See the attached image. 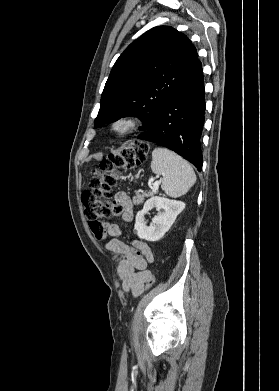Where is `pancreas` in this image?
<instances>
[{
	"label": "pancreas",
	"instance_id": "1",
	"mask_svg": "<svg viewBox=\"0 0 279 391\" xmlns=\"http://www.w3.org/2000/svg\"><path fill=\"white\" fill-rule=\"evenodd\" d=\"M154 195V192H150V193H143V194H140V193H136V195L133 197V203L134 205H140L144 202V199L146 197H150V196H153Z\"/></svg>",
	"mask_w": 279,
	"mask_h": 391
}]
</instances>
